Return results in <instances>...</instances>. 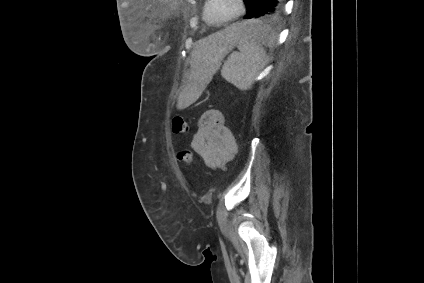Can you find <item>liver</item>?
<instances>
[{
	"mask_svg": "<svg viewBox=\"0 0 424 283\" xmlns=\"http://www.w3.org/2000/svg\"><path fill=\"white\" fill-rule=\"evenodd\" d=\"M246 28L234 24L224 30L199 40L191 52L189 83L182 89L177 109L191 105L220 65V60L243 38Z\"/></svg>",
	"mask_w": 424,
	"mask_h": 283,
	"instance_id": "1",
	"label": "liver"
}]
</instances>
